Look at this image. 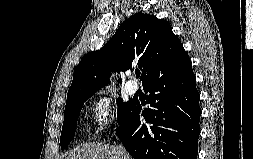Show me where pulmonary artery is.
Returning a JSON list of instances; mask_svg holds the SVG:
<instances>
[{
  "label": "pulmonary artery",
  "instance_id": "1",
  "mask_svg": "<svg viewBox=\"0 0 253 159\" xmlns=\"http://www.w3.org/2000/svg\"><path fill=\"white\" fill-rule=\"evenodd\" d=\"M129 75L131 77H133L134 74L133 73H129ZM125 88H126V91H127L128 94L133 95V94H135L137 92L138 85L134 81H129V82H127Z\"/></svg>",
  "mask_w": 253,
  "mask_h": 159
}]
</instances>
